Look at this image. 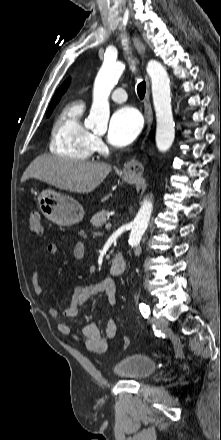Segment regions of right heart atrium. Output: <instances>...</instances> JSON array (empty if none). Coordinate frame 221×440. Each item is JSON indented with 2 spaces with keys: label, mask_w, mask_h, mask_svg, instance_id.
I'll list each match as a JSON object with an SVG mask.
<instances>
[{
  "label": "right heart atrium",
  "mask_w": 221,
  "mask_h": 440,
  "mask_svg": "<svg viewBox=\"0 0 221 440\" xmlns=\"http://www.w3.org/2000/svg\"><path fill=\"white\" fill-rule=\"evenodd\" d=\"M92 145H93V150L97 152H101L105 149L104 142L101 139V137L98 135H93Z\"/></svg>",
  "instance_id": "1"
}]
</instances>
